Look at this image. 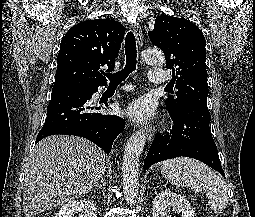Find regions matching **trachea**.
Wrapping results in <instances>:
<instances>
[{"instance_id":"trachea-1","label":"trachea","mask_w":255,"mask_h":217,"mask_svg":"<svg viewBox=\"0 0 255 217\" xmlns=\"http://www.w3.org/2000/svg\"><path fill=\"white\" fill-rule=\"evenodd\" d=\"M125 54H126L125 67L116 73L106 75L111 85L120 84L128 77L130 73H132L136 69L137 64L136 39L133 32L131 31L127 33L125 39Z\"/></svg>"}]
</instances>
